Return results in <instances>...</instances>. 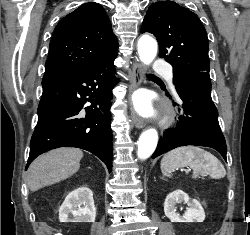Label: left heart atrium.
<instances>
[{
    "instance_id": "1",
    "label": "left heart atrium",
    "mask_w": 250,
    "mask_h": 235,
    "mask_svg": "<svg viewBox=\"0 0 250 235\" xmlns=\"http://www.w3.org/2000/svg\"><path fill=\"white\" fill-rule=\"evenodd\" d=\"M136 107L141 113H146L149 110L148 102L142 97L136 99Z\"/></svg>"
}]
</instances>
